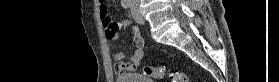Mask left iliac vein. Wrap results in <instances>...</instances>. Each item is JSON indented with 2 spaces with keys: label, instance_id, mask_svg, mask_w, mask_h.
<instances>
[{
  "label": "left iliac vein",
  "instance_id": "obj_1",
  "mask_svg": "<svg viewBox=\"0 0 279 82\" xmlns=\"http://www.w3.org/2000/svg\"><path fill=\"white\" fill-rule=\"evenodd\" d=\"M131 13H132V16H133L135 22H137L138 24L144 23V18L137 6H134V5L131 6Z\"/></svg>",
  "mask_w": 279,
  "mask_h": 82
}]
</instances>
